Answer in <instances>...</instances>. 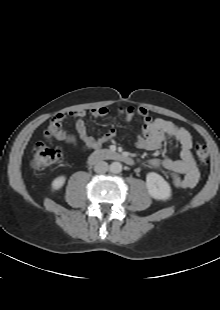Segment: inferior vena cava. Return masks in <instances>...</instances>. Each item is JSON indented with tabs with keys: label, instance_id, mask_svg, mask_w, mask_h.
Masks as SVG:
<instances>
[{
	"label": "inferior vena cava",
	"instance_id": "602c4592",
	"mask_svg": "<svg viewBox=\"0 0 220 310\" xmlns=\"http://www.w3.org/2000/svg\"><path fill=\"white\" fill-rule=\"evenodd\" d=\"M109 170V165L105 161H99L94 166V171L98 174H104Z\"/></svg>",
	"mask_w": 220,
	"mask_h": 310
}]
</instances>
